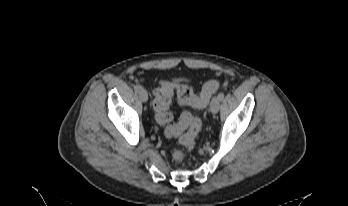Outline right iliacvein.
<instances>
[{
    "label": "right iliac vein",
    "mask_w": 348,
    "mask_h": 206,
    "mask_svg": "<svg viewBox=\"0 0 348 206\" xmlns=\"http://www.w3.org/2000/svg\"><path fill=\"white\" fill-rule=\"evenodd\" d=\"M139 97L141 99L142 102H147L148 101V93L145 89H141L139 91Z\"/></svg>",
    "instance_id": "1"
}]
</instances>
